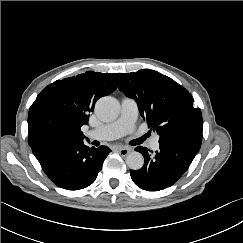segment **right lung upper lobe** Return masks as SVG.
Segmentation results:
<instances>
[{
    "label": "right lung upper lobe",
    "mask_w": 243,
    "mask_h": 243,
    "mask_svg": "<svg viewBox=\"0 0 243 243\" xmlns=\"http://www.w3.org/2000/svg\"><path fill=\"white\" fill-rule=\"evenodd\" d=\"M121 73L84 74L57 80L40 92L28 114V141L44 135L83 141L81 131L88 124L96 101L112 93Z\"/></svg>",
    "instance_id": "right-lung-upper-lobe-1"
}]
</instances>
